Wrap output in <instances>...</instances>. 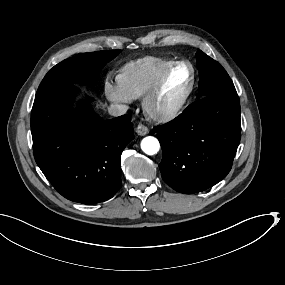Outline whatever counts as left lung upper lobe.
<instances>
[{
    "instance_id": "5c2ea615",
    "label": "left lung upper lobe",
    "mask_w": 285,
    "mask_h": 285,
    "mask_svg": "<svg viewBox=\"0 0 285 285\" xmlns=\"http://www.w3.org/2000/svg\"><path fill=\"white\" fill-rule=\"evenodd\" d=\"M199 68V92L204 97L219 92H235L236 89L225 69L201 50L197 54Z\"/></svg>"
}]
</instances>
